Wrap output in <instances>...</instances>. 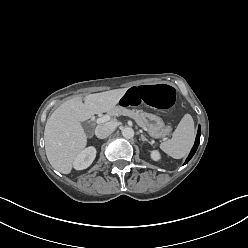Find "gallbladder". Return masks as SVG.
I'll return each instance as SVG.
<instances>
[{"instance_id":"obj_1","label":"gallbladder","mask_w":248,"mask_h":248,"mask_svg":"<svg viewBox=\"0 0 248 248\" xmlns=\"http://www.w3.org/2000/svg\"><path fill=\"white\" fill-rule=\"evenodd\" d=\"M82 125H83L85 130L89 129V124L87 122H84Z\"/></svg>"}]
</instances>
